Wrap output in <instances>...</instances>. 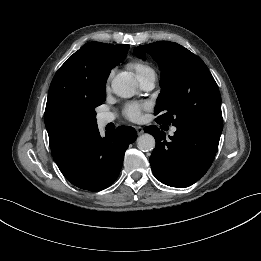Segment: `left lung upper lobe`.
I'll return each mask as SVG.
<instances>
[{
  "instance_id": "1",
  "label": "left lung upper lobe",
  "mask_w": 261,
  "mask_h": 261,
  "mask_svg": "<svg viewBox=\"0 0 261 261\" xmlns=\"http://www.w3.org/2000/svg\"><path fill=\"white\" fill-rule=\"evenodd\" d=\"M150 54L161 68L162 88L155 106L157 123L175 127H222L221 96L205 63L181 45L158 41L138 46L135 54Z\"/></svg>"
}]
</instances>
